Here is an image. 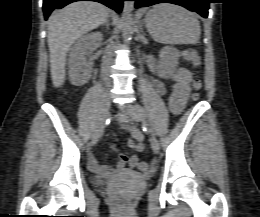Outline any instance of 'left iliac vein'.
Here are the masks:
<instances>
[{
	"label": "left iliac vein",
	"instance_id": "left-iliac-vein-1",
	"mask_svg": "<svg viewBox=\"0 0 260 217\" xmlns=\"http://www.w3.org/2000/svg\"><path fill=\"white\" fill-rule=\"evenodd\" d=\"M122 110L131 116L132 120L135 122H141L143 120L142 116L139 114L138 110L132 104H126L122 106ZM151 148L155 154L160 150V145L155 136L151 135L150 138Z\"/></svg>",
	"mask_w": 260,
	"mask_h": 217
}]
</instances>
